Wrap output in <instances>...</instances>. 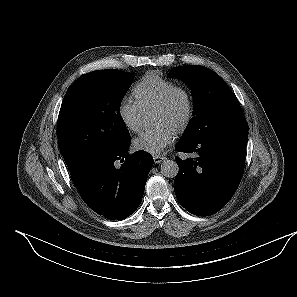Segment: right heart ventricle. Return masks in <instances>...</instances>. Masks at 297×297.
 <instances>
[{
  "mask_svg": "<svg viewBox=\"0 0 297 297\" xmlns=\"http://www.w3.org/2000/svg\"><path fill=\"white\" fill-rule=\"evenodd\" d=\"M175 86V83L161 75L150 72L143 76L134 86L133 94L140 108L156 104Z\"/></svg>",
  "mask_w": 297,
  "mask_h": 297,
  "instance_id": "obj_1",
  "label": "right heart ventricle"
}]
</instances>
